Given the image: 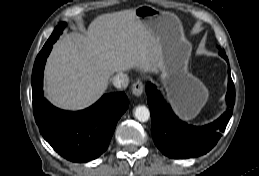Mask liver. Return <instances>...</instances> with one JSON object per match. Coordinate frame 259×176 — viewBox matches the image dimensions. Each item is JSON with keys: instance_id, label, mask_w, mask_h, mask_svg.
Masks as SVG:
<instances>
[{"instance_id": "1", "label": "liver", "mask_w": 259, "mask_h": 176, "mask_svg": "<svg viewBox=\"0 0 259 176\" xmlns=\"http://www.w3.org/2000/svg\"><path fill=\"white\" fill-rule=\"evenodd\" d=\"M160 69V46L134 9L96 17L85 34L71 32L53 47L44 74L56 106L79 110L97 101L114 73Z\"/></svg>"}]
</instances>
